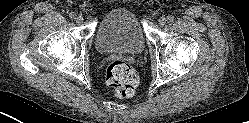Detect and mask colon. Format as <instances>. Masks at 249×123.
<instances>
[{"mask_svg": "<svg viewBox=\"0 0 249 123\" xmlns=\"http://www.w3.org/2000/svg\"><path fill=\"white\" fill-rule=\"evenodd\" d=\"M106 83L115 96L128 98L134 94L139 77L128 61L114 59L107 66Z\"/></svg>", "mask_w": 249, "mask_h": 123, "instance_id": "1", "label": "colon"}]
</instances>
